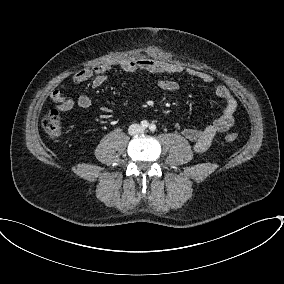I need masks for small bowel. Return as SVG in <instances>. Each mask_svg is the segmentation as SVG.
Returning <instances> with one entry per match:
<instances>
[{
	"label": "small bowel",
	"mask_w": 284,
	"mask_h": 284,
	"mask_svg": "<svg viewBox=\"0 0 284 284\" xmlns=\"http://www.w3.org/2000/svg\"><path fill=\"white\" fill-rule=\"evenodd\" d=\"M120 69L125 73H135L138 71H145L155 75H173L183 71L181 66L168 63L162 60L139 58L124 61L120 64ZM111 67L109 65H99L93 68H84L78 70L72 77L74 83H82L90 80L94 88L100 87L109 77ZM188 74L197 77L204 83H211L213 77L206 72H198L190 70ZM157 86L167 92H175L179 85L176 81L171 79H161L157 82ZM64 85L55 88L50 98L55 103L56 108L61 112H68L74 107L72 98L63 94ZM217 97H219L225 104L221 115L203 128L184 127L177 124V128L181 134L193 144L196 152L206 151L216 135L229 130L234 123V115L237 109V101L231 94L229 89L217 84L214 87ZM92 101L89 96L83 94L77 99V105L82 109H89Z\"/></svg>",
	"instance_id": "small-bowel-1"
}]
</instances>
